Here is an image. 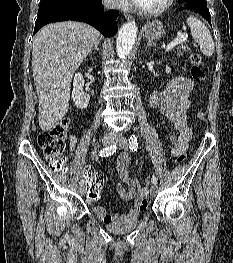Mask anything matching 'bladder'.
I'll use <instances>...</instances> for the list:
<instances>
[{"instance_id": "31cf9c89", "label": "bladder", "mask_w": 233, "mask_h": 263, "mask_svg": "<svg viewBox=\"0 0 233 263\" xmlns=\"http://www.w3.org/2000/svg\"><path fill=\"white\" fill-rule=\"evenodd\" d=\"M139 223V215L137 213H127L119 217L117 220L107 223L105 228L113 234H124L129 232Z\"/></svg>"}]
</instances>
